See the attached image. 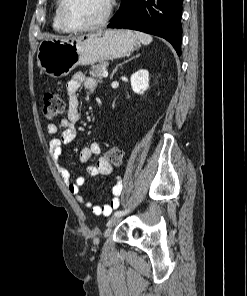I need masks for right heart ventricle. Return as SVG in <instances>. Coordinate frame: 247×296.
<instances>
[{"instance_id":"e07e8e85","label":"right heart ventricle","mask_w":247,"mask_h":296,"mask_svg":"<svg viewBox=\"0 0 247 296\" xmlns=\"http://www.w3.org/2000/svg\"><path fill=\"white\" fill-rule=\"evenodd\" d=\"M60 2L61 0H58L57 1V4L55 6V10H54V14H53V29L57 32H60V33H64L66 32L62 26L60 25V22H59V6H60Z\"/></svg>"}]
</instances>
